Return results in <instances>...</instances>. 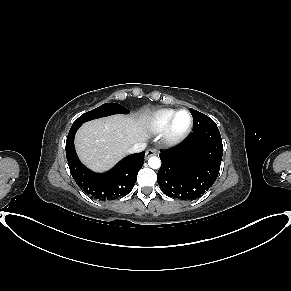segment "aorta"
Returning <instances> with one entry per match:
<instances>
[{
    "label": "aorta",
    "mask_w": 291,
    "mask_h": 291,
    "mask_svg": "<svg viewBox=\"0 0 291 291\" xmlns=\"http://www.w3.org/2000/svg\"><path fill=\"white\" fill-rule=\"evenodd\" d=\"M148 164L153 169H158L161 166V161L158 157L152 156L148 160Z\"/></svg>",
    "instance_id": "1"
}]
</instances>
